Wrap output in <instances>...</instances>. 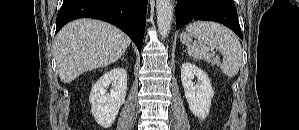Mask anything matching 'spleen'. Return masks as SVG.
Listing matches in <instances>:
<instances>
[{
	"instance_id": "obj_1",
	"label": "spleen",
	"mask_w": 299,
	"mask_h": 130,
	"mask_svg": "<svg viewBox=\"0 0 299 130\" xmlns=\"http://www.w3.org/2000/svg\"><path fill=\"white\" fill-rule=\"evenodd\" d=\"M199 43H192L190 35ZM180 40L187 46L188 54L195 60H210L213 55L210 48H215L223 55L220 70L229 78L234 77L241 66L242 48L237 36L225 26L210 21H195L187 25Z\"/></svg>"
}]
</instances>
